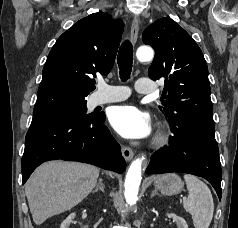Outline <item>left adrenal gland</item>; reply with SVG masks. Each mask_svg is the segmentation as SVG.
<instances>
[{"label":"left adrenal gland","instance_id":"left-adrenal-gland-1","mask_svg":"<svg viewBox=\"0 0 238 228\" xmlns=\"http://www.w3.org/2000/svg\"><path fill=\"white\" fill-rule=\"evenodd\" d=\"M155 195H159L156 189L152 191L151 197H154Z\"/></svg>","mask_w":238,"mask_h":228}]
</instances>
